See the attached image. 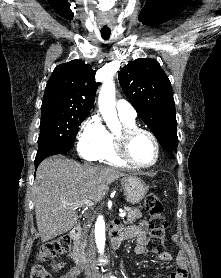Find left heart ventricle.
Here are the masks:
<instances>
[{
  "label": "left heart ventricle",
  "instance_id": "left-heart-ventricle-1",
  "mask_svg": "<svg viewBox=\"0 0 221 278\" xmlns=\"http://www.w3.org/2000/svg\"><path fill=\"white\" fill-rule=\"evenodd\" d=\"M128 156L141 165L151 164L155 159V147L151 138L145 133H137L128 144Z\"/></svg>",
  "mask_w": 221,
  "mask_h": 278
}]
</instances>
